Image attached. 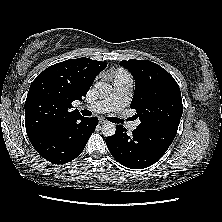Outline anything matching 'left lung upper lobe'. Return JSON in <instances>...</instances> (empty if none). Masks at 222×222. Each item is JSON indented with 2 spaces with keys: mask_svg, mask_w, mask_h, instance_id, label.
Listing matches in <instances>:
<instances>
[{
  "mask_svg": "<svg viewBox=\"0 0 222 222\" xmlns=\"http://www.w3.org/2000/svg\"><path fill=\"white\" fill-rule=\"evenodd\" d=\"M135 79L131 108L141 120L138 127L170 128L177 131L183 113L180 88L158 64L145 60L121 61Z\"/></svg>",
  "mask_w": 222,
  "mask_h": 222,
  "instance_id": "5c2ea615",
  "label": "left lung upper lobe"
}]
</instances>
